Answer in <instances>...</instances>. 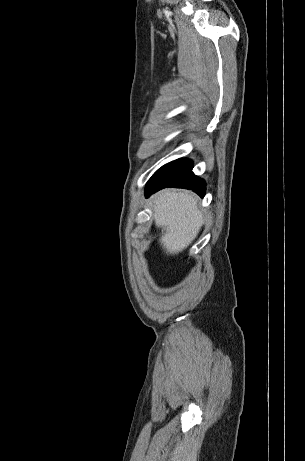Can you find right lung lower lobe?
Returning <instances> with one entry per match:
<instances>
[{
	"instance_id": "right-lung-lower-lobe-1",
	"label": "right lung lower lobe",
	"mask_w": 305,
	"mask_h": 461,
	"mask_svg": "<svg viewBox=\"0 0 305 461\" xmlns=\"http://www.w3.org/2000/svg\"><path fill=\"white\" fill-rule=\"evenodd\" d=\"M192 168V161L187 159H178L162 166L147 182L145 188L146 197L166 187L186 188L203 197L206 183L203 179L194 175Z\"/></svg>"
}]
</instances>
